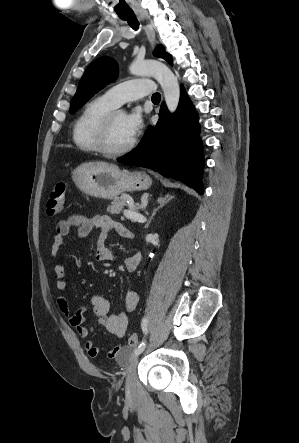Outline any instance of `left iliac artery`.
<instances>
[{
	"label": "left iliac artery",
	"mask_w": 299,
	"mask_h": 443,
	"mask_svg": "<svg viewBox=\"0 0 299 443\" xmlns=\"http://www.w3.org/2000/svg\"><path fill=\"white\" fill-rule=\"evenodd\" d=\"M148 319H147V317H144L143 319H142V323H141V327H142V330H143V332H144V334L146 335L147 334V332H148V328H147V326H148ZM145 347H146V340H144L135 350H134V355L136 356V355H138V354H140L144 349H145Z\"/></svg>",
	"instance_id": "1"
}]
</instances>
